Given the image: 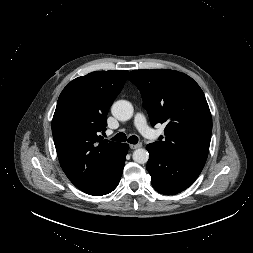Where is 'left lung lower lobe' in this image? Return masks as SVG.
I'll list each match as a JSON object with an SVG mask.
<instances>
[{"label": "left lung lower lobe", "instance_id": "0a47b994", "mask_svg": "<svg viewBox=\"0 0 253 253\" xmlns=\"http://www.w3.org/2000/svg\"><path fill=\"white\" fill-rule=\"evenodd\" d=\"M150 157L147 170L156 191L164 195H175L187 189L197 179L202 169L171 158L155 143L146 146Z\"/></svg>", "mask_w": 253, "mask_h": 253}]
</instances>
